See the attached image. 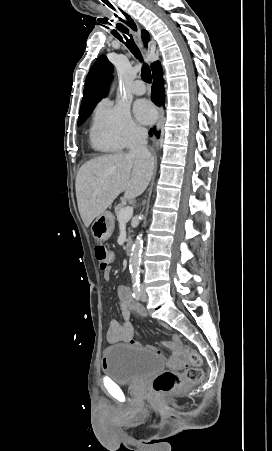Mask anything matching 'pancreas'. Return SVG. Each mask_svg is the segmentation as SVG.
<instances>
[{
  "instance_id": "obj_1",
  "label": "pancreas",
  "mask_w": 272,
  "mask_h": 451,
  "mask_svg": "<svg viewBox=\"0 0 272 451\" xmlns=\"http://www.w3.org/2000/svg\"><path fill=\"white\" fill-rule=\"evenodd\" d=\"M122 200H126V198H122ZM124 208H126V204H118V206H116L115 208L116 216H118L120 210H124ZM128 241H131V237H128Z\"/></svg>"
}]
</instances>
